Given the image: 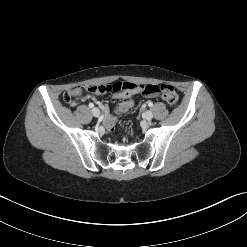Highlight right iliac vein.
<instances>
[{
    "instance_id": "1",
    "label": "right iliac vein",
    "mask_w": 247,
    "mask_h": 247,
    "mask_svg": "<svg viewBox=\"0 0 247 247\" xmlns=\"http://www.w3.org/2000/svg\"><path fill=\"white\" fill-rule=\"evenodd\" d=\"M92 114H93L94 117H99L100 110L98 108H93L92 109Z\"/></svg>"
}]
</instances>
